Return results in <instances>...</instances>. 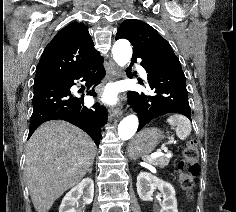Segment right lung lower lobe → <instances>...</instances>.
<instances>
[{"instance_id":"98d812e1","label":"right lung lower lobe","mask_w":236,"mask_h":212,"mask_svg":"<svg viewBox=\"0 0 236 212\" xmlns=\"http://www.w3.org/2000/svg\"><path fill=\"white\" fill-rule=\"evenodd\" d=\"M105 74L102 59H100L69 78L35 80L33 113L28 138L43 122L61 119L84 130L98 146L101 139V127L107 120V110L99 104L90 108L84 106L83 97L73 96L70 88L75 85L74 80L78 79L85 81L88 87L93 84L96 86ZM88 95L95 96L96 93L92 89Z\"/></svg>"}]
</instances>
